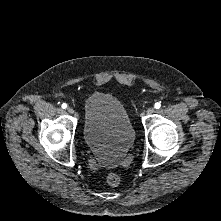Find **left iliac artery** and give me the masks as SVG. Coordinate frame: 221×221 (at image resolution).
<instances>
[{
    "instance_id": "obj_1",
    "label": "left iliac artery",
    "mask_w": 221,
    "mask_h": 221,
    "mask_svg": "<svg viewBox=\"0 0 221 221\" xmlns=\"http://www.w3.org/2000/svg\"><path fill=\"white\" fill-rule=\"evenodd\" d=\"M154 107H155L156 109H159V108L161 107V104H160L159 102H156L155 105H154Z\"/></svg>"
}]
</instances>
